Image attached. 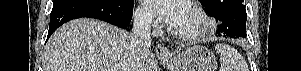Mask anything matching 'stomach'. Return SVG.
Segmentation results:
<instances>
[{"label": "stomach", "instance_id": "obj_1", "mask_svg": "<svg viewBox=\"0 0 301 71\" xmlns=\"http://www.w3.org/2000/svg\"><path fill=\"white\" fill-rule=\"evenodd\" d=\"M170 71H217L215 55L202 46H194L182 51L169 60L160 59Z\"/></svg>", "mask_w": 301, "mask_h": 71}]
</instances>
